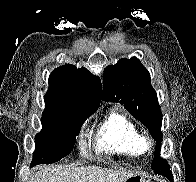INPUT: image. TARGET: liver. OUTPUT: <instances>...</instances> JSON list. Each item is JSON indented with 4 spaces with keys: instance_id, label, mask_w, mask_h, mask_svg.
<instances>
[{
    "instance_id": "1",
    "label": "liver",
    "mask_w": 196,
    "mask_h": 182,
    "mask_svg": "<svg viewBox=\"0 0 196 182\" xmlns=\"http://www.w3.org/2000/svg\"><path fill=\"white\" fill-rule=\"evenodd\" d=\"M134 175L97 166L44 167L37 171L30 182H125Z\"/></svg>"
}]
</instances>
